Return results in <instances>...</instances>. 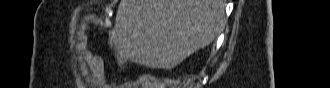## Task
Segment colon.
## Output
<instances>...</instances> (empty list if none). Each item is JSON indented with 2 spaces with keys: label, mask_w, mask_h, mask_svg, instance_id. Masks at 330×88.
<instances>
[{
  "label": "colon",
  "mask_w": 330,
  "mask_h": 88,
  "mask_svg": "<svg viewBox=\"0 0 330 88\" xmlns=\"http://www.w3.org/2000/svg\"><path fill=\"white\" fill-rule=\"evenodd\" d=\"M88 63H89V69L91 73L98 79L101 80L102 78V71L100 67L99 59L93 55L92 53L87 52L86 53Z\"/></svg>",
  "instance_id": "obj_1"
}]
</instances>
